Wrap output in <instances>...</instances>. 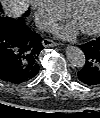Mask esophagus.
Wrapping results in <instances>:
<instances>
[{
  "label": "esophagus",
  "mask_w": 100,
  "mask_h": 118,
  "mask_svg": "<svg viewBox=\"0 0 100 118\" xmlns=\"http://www.w3.org/2000/svg\"><path fill=\"white\" fill-rule=\"evenodd\" d=\"M42 45L44 46V47H55V46H57V45H59L58 43H56V42H54V41H52V40H50V39H43V41H42Z\"/></svg>",
  "instance_id": "obj_1"
}]
</instances>
